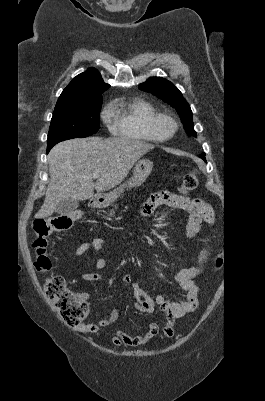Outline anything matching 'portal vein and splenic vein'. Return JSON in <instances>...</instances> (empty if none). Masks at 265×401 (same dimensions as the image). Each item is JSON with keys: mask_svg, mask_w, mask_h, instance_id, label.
I'll use <instances>...</instances> for the list:
<instances>
[{"mask_svg": "<svg viewBox=\"0 0 265 401\" xmlns=\"http://www.w3.org/2000/svg\"><path fill=\"white\" fill-rule=\"evenodd\" d=\"M100 172H103V170H96V172H93L92 176H94V178H97V176H99Z\"/></svg>", "mask_w": 265, "mask_h": 401, "instance_id": "1", "label": "portal vein and splenic vein"}]
</instances>
